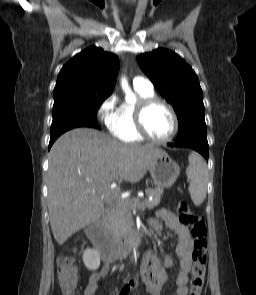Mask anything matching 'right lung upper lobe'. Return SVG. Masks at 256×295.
I'll use <instances>...</instances> for the list:
<instances>
[{
	"mask_svg": "<svg viewBox=\"0 0 256 295\" xmlns=\"http://www.w3.org/2000/svg\"><path fill=\"white\" fill-rule=\"evenodd\" d=\"M119 60L115 54L92 46L75 55L61 69L54 103L107 98L115 87Z\"/></svg>",
	"mask_w": 256,
	"mask_h": 295,
	"instance_id": "cb5924a9",
	"label": "right lung upper lobe"
}]
</instances>
